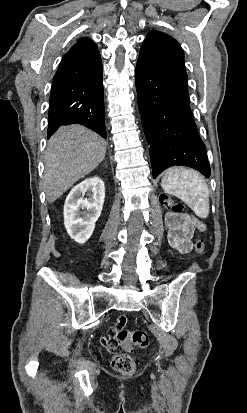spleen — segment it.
Returning a JSON list of instances; mask_svg holds the SVG:
<instances>
[{
    "instance_id": "spleen-1",
    "label": "spleen",
    "mask_w": 247,
    "mask_h": 413,
    "mask_svg": "<svg viewBox=\"0 0 247 413\" xmlns=\"http://www.w3.org/2000/svg\"><path fill=\"white\" fill-rule=\"evenodd\" d=\"M162 186L168 194H175L196 213L206 219L209 213V188L200 172L192 168H169L162 178Z\"/></svg>"
}]
</instances>
